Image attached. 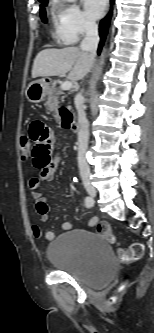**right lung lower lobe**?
I'll list each match as a JSON object with an SVG mask.
<instances>
[{
  "mask_svg": "<svg viewBox=\"0 0 154 333\" xmlns=\"http://www.w3.org/2000/svg\"><path fill=\"white\" fill-rule=\"evenodd\" d=\"M113 2H114V0H111V3H113ZM109 21H110V15H108L100 23L99 33H100L101 41H100L99 48H98V54H100V51H101L102 46L104 44L106 34H107V30H108V26H109Z\"/></svg>",
  "mask_w": 154,
  "mask_h": 333,
  "instance_id": "right-lung-lower-lobe-1",
  "label": "right lung lower lobe"
}]
</instances>
